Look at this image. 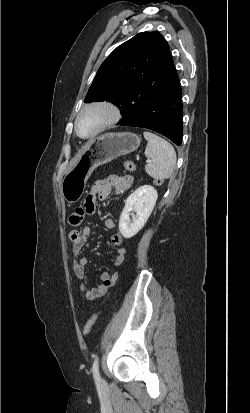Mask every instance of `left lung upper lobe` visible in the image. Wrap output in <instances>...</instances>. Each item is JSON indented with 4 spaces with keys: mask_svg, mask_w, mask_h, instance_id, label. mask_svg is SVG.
<instances>
[{
    "mask_svg": "<svg viewBox=\"0 0 250 413\" xmlns=\"http://www.w3.org/2000/svg\"><path fill=\"white\" fill-rule=\"evenodd\" d=\"M170 49L157 32H142L118 46L102 63L84 102L113 101L121 109L145 81L161 77Z\"/></svg>",
    "mask_w": 250,
    "mask_h": 413,
    "instance_id": "1",
    "label": "left lung upper lobe"
}]
</instances>
